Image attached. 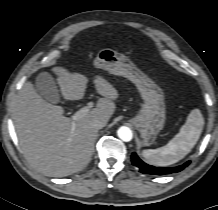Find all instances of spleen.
Instances as JSON below:
<instances>
[{"label":"spleen","instance_id":"spleen-1","mask_svg":"<svg viewBox=\"0 0 218 210\" xmlns=\"http://www.w3.org/2000/svg\"><path fill=\"white\" fill-rule=\"evenodd\" d=\"M204 125V119L198 109H194L180 128L165 146L158 149L143 150L142 155L156 166H170L183 159L196 145Z\"/></svg>","mask_w":218,"mask_h":210}]
</instances>
